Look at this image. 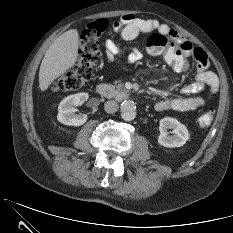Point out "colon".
<instances>
[{"label":"colon","instance_id":"5ec220e1","mask_svg":"<svg viewBox=\"0 0 233 233\" xmlns=\"http://www.w3.org/2000/svg\"><path fill=\"white\" fill-rule=\"evenodd\" d=\"M109 24L105 19L91 22L83 30L80 37L78 58L75 67L55 80L51 88L54 91H75L87 84L93 77L94 65L99 57V40L108 31ZM147 51L161 56L175 72L188 69L187 57L182 53L176 41L166 34H152L146 43ZM214 118V111L208 110L197 120L200 128L208 127Z\"/></svg>","mask_w":233,"mask_h":233}]
</instances>
